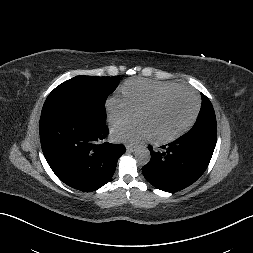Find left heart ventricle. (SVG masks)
Instances as JSON below:
<instances>
[{
	"mask_svg": "<svg viewBox=\"0 0 253 253\" xmlns=\"http://www.w3.org/2000/svg\"><path fill=\"white\" fill-rule=\"evenodd\" d=\"M194 109L193 96L186 91H180L168 95L154 107L138 113L137 118L149 126L153 137H165L184 126Z\"/></svg>",
	"mask_w": 253,
	"mask_h": 253,
	"instance_id": "left-heart-ventricle-1",
	"label": "left heart ventricle"
}]
</instances>
